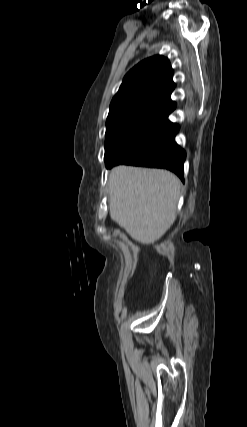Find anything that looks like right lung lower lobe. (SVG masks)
Wrapping results in <instances>:
<instances>
[{
    "label": "right lung lower lobe",
    "mask_w": 247,
    "mask_h": 427,
    "mask_svg": "<svg viewBox=\"0 0 247 427\" xmlns=\"http://www.w3.org/2000/svg\"><path fill=\"white\" fill-rule=\"evenodd\" d=\"M175 108L171 101L150 113L124 139L106 167L131 164L166 168L184 180L186 153L174 141L179 126L167 119Z\"/></svg>",
    "instance_id": "98d812e1"
}]
</instances>
